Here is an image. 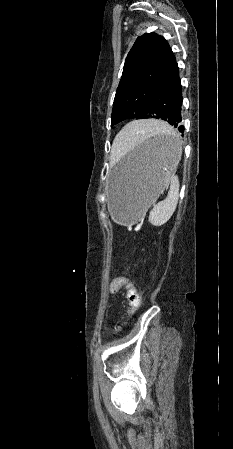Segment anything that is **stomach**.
I'll return each instance as SVG.
<instances>
[{
	"label": "stomach",
	"instance_id": "stomach-1",
	"mask_svg": "<svg viewBox=\"0 0 233 449\" xmlns=\"http://www.w3.org/2000/svg\"><path fill=\"white\" fill-rule=\"evenodd\" d=\"M180 154L176 137L161 133L117 163L108 185L113 218L126 225L140 221L165 189Z\"/></svg>",
	"mask_w": 233,
	"mask_h": 449
}]
</instances>
